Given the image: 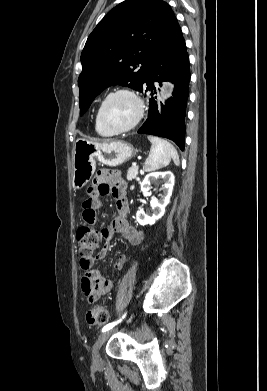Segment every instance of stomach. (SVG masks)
<instances>
[{
  "label": "stomach",
  "instance_id": "0dacf381",
  "mask_svg": "<svg viewBox=\"0 0 267 391\" xmlns=\"http://www.w3.org/2000/svg\"><path fill=\"white\" fill-rule=\"evenodd\" d=\"M138 152L131 144L123 141L98 142L92 139L79 138L73 148V178L74 190L87 185L96 170V161L110 167H117Z\"/></svg>",
  "mask_w": 267,
  "mask_h": 391
}]
</instances>
